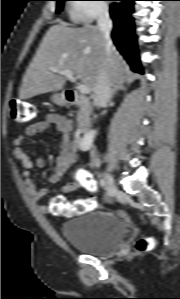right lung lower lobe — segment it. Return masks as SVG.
I'll list each match as a JSON object with an SVG mask.
<instances>
[{"label": "right lung lower lobe", "mask_w": 180, "mask_h": 299, "mask_svg": "<svg viewBox=\"0 0 180 299\" xmlns=\"http://www.w3.org/2000/svg\"><path fill=\"white\" fill-rule=\"evenodd\" d=\"M110 6L114 28L112 39L134 72L143 73L138 57L134 21L131 17L135 0H119Z\"/></svg>", "instance_id": "1"}]
</instances>
